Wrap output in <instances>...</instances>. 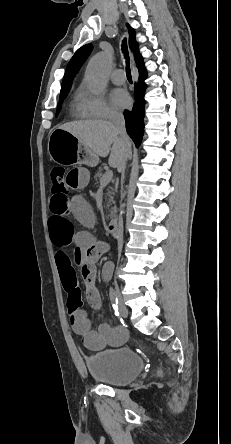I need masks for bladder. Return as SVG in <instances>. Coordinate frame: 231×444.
Masks as SVG:
<instances>
[{
  "mask_svg": "<svg viewBox=\"0 0 231 444\" xmlns=\"http://www.w3.org/2000/svg\"><path fill=\"white\" fill-rule=\"evenodd\" d=\"M85 365L93 378L113 386L131 383L143 369L141 357L125 347L89 356Z\"/></svg>",
  "mask_w": 231,
  "mask_h": 444,
  "instance_id": "obj_1",
  "label": "bladder"
}]
</instances>
